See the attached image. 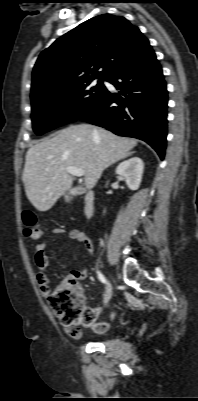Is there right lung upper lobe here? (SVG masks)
Instances as JSON below:
<instances>
[{"label": "right lung upper lobe", "mask_w": 198, "mask_h": 401, "mask_svg": "<svg viewBox=\"0 0 198 401\" xmlns=\"http://www.w3.org/2000/svg\"><path fill=\"white\" fill-rule=\"evenodd\" d=\"M148 46V39L122 16L91 18L39 55L32 73L31 100L95 78L106 80Z\"/></svg>", "instance_id": "1"}]
</instances>
